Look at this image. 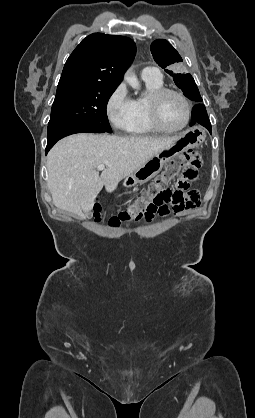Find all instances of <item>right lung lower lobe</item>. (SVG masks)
<instances>
[{
	"mask_svg": "<svg viewBox=\"0 0 255 418\" xmlns=\"http://www.w3.org/2000/svg\"><path fill=\"white\" fill-rule=\"evenodd\" d=\"M104 133L105 130L93 126L87 125L82 123H57L51 126H48V139H47V146H46V154L48 151L53 147V145L60 140L61 138L75 134V133Z\"/></svg>",
	"mask_w": 255,
	"mask_h": 418,
	"instance_id": "1",
	"label": "right lung lower lobe"
}]
</instances>
